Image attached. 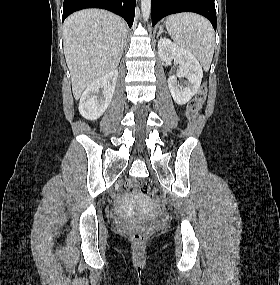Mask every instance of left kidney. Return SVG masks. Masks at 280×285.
Instances as JSON below:
<instances>
[{"label":"left kidney","instance_id":"5707ae66","mask_svg":"<svg viewBox=\"0 0 280 285\" xmlns=\"http://www.w3.org/2000/svg\"><path fill=\"white\" fill-rule=\"evenodd\" d=\"M158 55L162 61L177 60L180 64L178 77L188 80L185 87H181L176 76L168 78V87L174 101L179 105L186 104L199 90L203 77V70L198 60L186 49L179 47L166 38L158 41Z\"/></svg>","mask_w":280,"mask_h":285}]
</instances>
